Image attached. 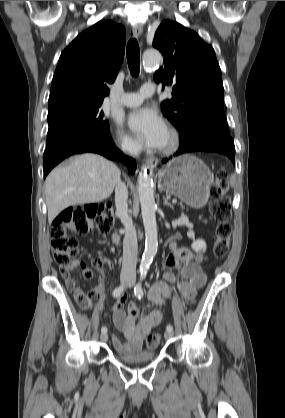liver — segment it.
Wrapping results in <instances>:
<instances>
[{"instance_id":"1","label":"liver","mask_w":285,"mask_h":418,"mask_svg":"<svg viewBox=\"0 0 285 418\" xmlns=\"http://www.w3.org/2000/svg\"><path fill=\"white\" fill-rule=\"evenodd\" d=\"M120 175L113 162L91 153L76 155L67 165L53 169L45 181L49 223L70 206L110 197Z\"/></svg>"}]
</instances>
